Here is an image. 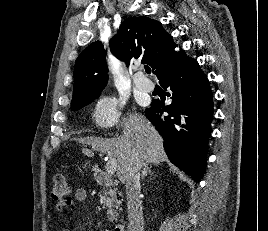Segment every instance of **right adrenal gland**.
Masks as SVG:
<instances>
[{
	"label": "right adrenal gland",
	"instance_id": "obj_1",
	"mask_svg": "<svg viewBox=\"0 0 268 231\" xmlns=\"http://www.w3.org/2000/svg\"><path fill=\"white\" fill-rule=\"evenodd\" d=\"M151 166L149 167V165L147 163L144 164L143 166V170H142V174H141V178L142 180L148 175V174H153L151 171Z\"/></svg>",
	"mask_w": 268,
	"mask_h": 231
}]
</instances>
